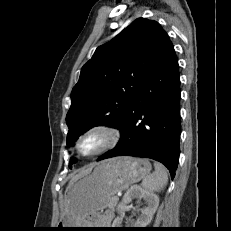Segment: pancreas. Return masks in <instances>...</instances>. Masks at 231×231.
<instances>
[{
    "label": "pancreas",
    "instance_id": "obj_1",
    "mask_svg": "<svg viewBox=\"0 0 231 231\" xmlns=\"http://www.w3.org/2000/svg\"><path fill=\"white\" fill-rule=\"evenodd\" d=\"M118 199H115V197H112L109 201L108 207L109 208H115L117 205Z\"/></svg>",
    "mask_w": 231,
    "mask_h": 231
}]
</instances>
